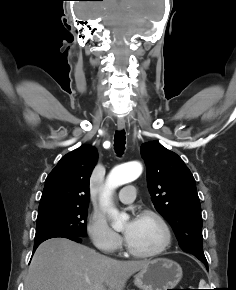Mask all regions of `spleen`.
<instances>
[{
    "mask_svg": "<svg viewBox=\"0 0 236 290\" xmlns=\"http://www.w3.org/2000/svg\"><path fill=\"white\" fill-rule=\"evenodd\" d=\"M204 285H205V281L204 280H201L199 286L200 287H203Z\"/></svg>",
    "mask_w": 236,
    "mask_h": 290,
    "instance_id": "spleen-1",
    "label": "spleen"
}]
</instances>
